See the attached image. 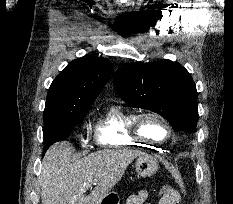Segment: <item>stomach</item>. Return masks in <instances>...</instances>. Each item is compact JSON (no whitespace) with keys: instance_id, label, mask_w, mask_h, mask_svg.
<instances>
[{"instance_id":"obj_1","label":"stomach","mask_w":233,"mask_h":204,"mask_svg":"<svg viewBox=\"0 0 233 204\" xmlns=\"http://www.w3.org/2000/svg\"><path fill=\"white\" fill-rule=\"evenodd\" d=\"M135 169L141 177H150L157 172L158 163L149 155H140L135 161ZM100 204H103V201Z\"/></svg>"}]
</instances>
